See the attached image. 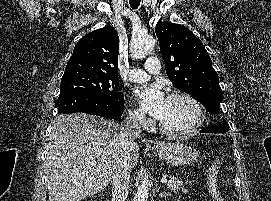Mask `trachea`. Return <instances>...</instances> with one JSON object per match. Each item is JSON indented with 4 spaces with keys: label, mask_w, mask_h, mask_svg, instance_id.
Here are the masks:
<instances>
[{
    "label": "trachea",
    "mask_w": 271,
    "mask_h": 201,
    "mask_svg": "<svg viewBox=\"0 0 271 201\" xmlns=\"http://www.w3.org/2000/svg\"><path fill=\"white\" fill-rule=\"evenodd\" d=\"M141 0H129L130 6L133 9H137L140 5Z\"/></svg>",
    "instance_id": "obj_1"
}]
</instances>
